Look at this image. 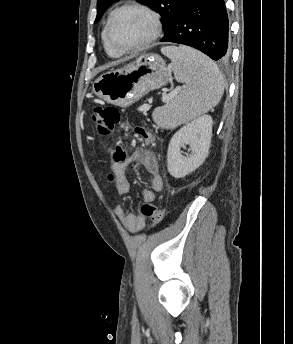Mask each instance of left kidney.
<instances>
[{"label": "left kidney", "mask_w": 293, "mask_h": 344, "mask_svg": "<svg viewBox=\"0 0 293 344\" xmlns=\"http://www.w3.org/2000/svg\"><path fill=\"white\" fill-rule=\"evenodd\" d=\"M212 118L200 116L180 128L171 138L167 151L168 172L174 178H183L205 161L211 144ZM189 145L191 154L183 156L181 147Z\"/></svg>", "instance_id": "5707ae66"}]
</instances>
